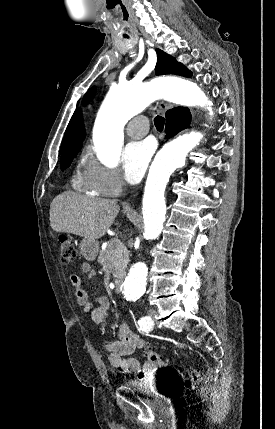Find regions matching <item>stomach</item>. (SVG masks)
I'll return each instance as SVG.
<instances>
[{
	"mask_svg": "<svg viewBox=\"0 0 275 429\" xmlns=\"http://www.w3.org/2000/svg\"><path fill=\"white\" fill-rule=\"evenodd\" d=\"M99 242L84 238L80 243V250L85 259L93 261L98 253Z\"/></svg>",
	"mask_w": 275,
	"mask_h": 429,
	"instance_id": "0dacf381",
	"label": "stomach"
}]
</instances>
